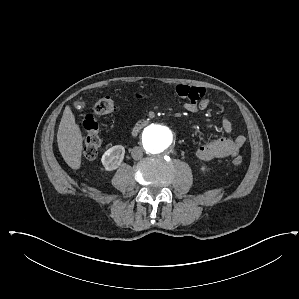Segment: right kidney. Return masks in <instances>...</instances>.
Instances as JSON below:
<instances>
[{
  "instance_id": "obj_1",
  "label": "right kidney",
  "mask_w": 299,
  "mask_h": 299,
  "mask_svg": "<svg viewBox=\"0 0 299 299\" xmlns=\"http://www.w3.org/2000/svg\"><path fill=\"white\" fill-rule=\"evenodd\" d=\"M124 154L125 148L122 145H116L109 148L101 158L104 169L106 171L117 169L123 161Z\"/></svg>"
}]
</instances>
